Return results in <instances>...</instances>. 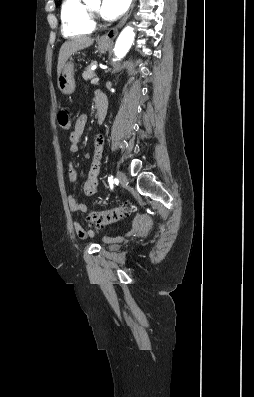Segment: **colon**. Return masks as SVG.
Returning a JSON list of instances; mask_svg holds the SVG:
<instances>
[{
  "instance_id": "5ec220e1",
  "label": "colon",
  "mask_w": 254,
  "mask_h": 397,
  "mask_svg": "<svg viewBox=\"0 0 254 397\" xmlns=\"http://www.w3.org/2000/svg\"><path fill=\"white\" fill-rule=\"evenodd\" d=\"M58 124L63 131H68L71 127L70 117L65 109L59 111L57 116ZM135 207L129 204H122L112 209L104 211H92L87 219L90 223L106 226L111 225L134 212Z\"/></svg>"
}]
</instances>
